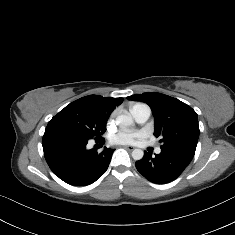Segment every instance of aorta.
<instances>
[{"label": "aorta", "instance_id": "762f6f07", "mask_svg": "<svg viewBox=\"0 0 235 235\" xmlns=\"http://www.w3.org/2000/svg\"><path fill=\"white\" fill-rule=\"evenodd\" d=\"M116 122L120 126L121 129H125L134 124L133 118L129 114H123V115L117 116ZM143 156H144V152L141 149H134L132 151V158L134 160H141Z\"/></svg>", "mask_w": 235, "mask_h": 235}]
</instances>
